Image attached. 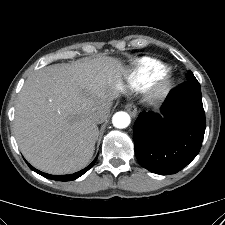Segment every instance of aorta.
Here are the masks:
<instances>
[{"instance_id":"762f6f07","label":"aorta","mask_w":225,"mask_h":225,"mask_svg":"<svg viewBox=\"0 0 225 225\" xmlns=\"http://www.w3.org/2000/svg\"><path fill=\"white\" fill-rule=\"evenodd\" d=\"M130 122L129 114L124 111L116 112L112 117L113 126L119 129L128 127Z\"/></svg>"}]
</instances>
